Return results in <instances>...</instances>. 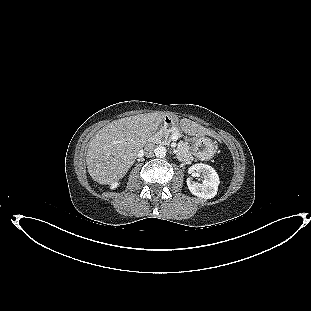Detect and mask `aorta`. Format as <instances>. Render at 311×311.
Instances as JSON below:
<instances>
[{
    "instance_id": "762f6f07",
    "label": "aorta",
    "mask_w": 311,
    "mask_h": 311,
    "mask_svg": "<svg viewBox=\"0 0 311 311\" xmlns=\"http://www.w3.org/2000/svg\"><path fill=\"white\" fill-rule=\"evenodd\" d=\"M166 148L164 146H157L154 150L155 156L158 158H164L166 156Z\"/></svg>"
}]
</instances>
